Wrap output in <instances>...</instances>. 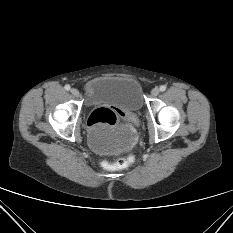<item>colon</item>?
Listing matches in <instances>:
<instances>
[{"label":"colon","instance_id":"colon-1","mask_svg":"<svg viewBox=\"0 0 233 233\" xmlns=\"http://www.w3.org/2000/svg\"><path fill=\"white\" fill-rule=\"evenodd\" d=\"M116 121L117 116L113 110L109 108H98L90 114L88 118V125L91 127L114 126ZM133 160V155H128L109 164V167L114 170L125 169L132 164Z\"/></svg>","mask_w":233,"mask_h":233}]
</instances>
